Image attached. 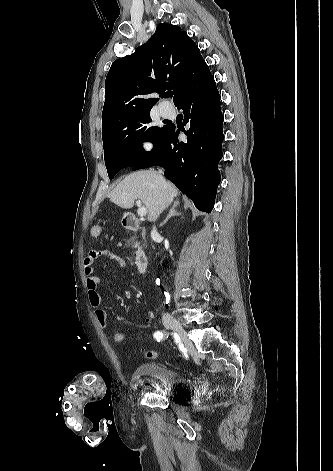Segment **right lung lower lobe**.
<instances>
[{"label": "right lung lower lobe", "mask_w": 333, "mask_h": 471, "mask_svg": "<svg viewBox=\"0 0 333 471\" xmlns=\"http://www.w3.org/2000/svg\"><path fill=\"white\" fill-rule=\"evenodd\" d=\"M176 106L183 109L184 125L190 126L185 132L187 141L180 142L179 131L170 124L161 142L132 170L164 167L165 177L199 210L209 213L221 181L218 163L224 139L220 95L212 74L198 80Z\"/></svg>", "instance_id": "1"}]
</instances>
